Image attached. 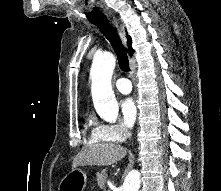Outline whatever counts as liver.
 <instances>
[{"label":"liver","instance_id":"6515ba94","mask_svg":"<svg viewBox=\"0 0 221 191\" xmlns=\"http://www.w3.org/2000/svg\"><path fill=\"white\" fill-rule=\"evenodd\" d=\"M127 149L112 143H97L84 148L74 158L72 167L78 166H108L124 158Z\"/></svg>","mask_w":221,"mask_h":191}]
</instances>
